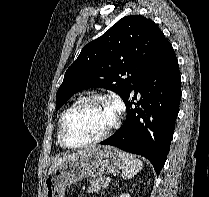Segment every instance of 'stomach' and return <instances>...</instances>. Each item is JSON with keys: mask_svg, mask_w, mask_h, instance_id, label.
I'll return each mask as SVG.
<instances>
[{"mask_svg": "<svg viewBox=\"0 0 209 197\" xmlns=\"http://www.w3.org/2000/svg\"><path fill=\"white\" fill-rule=\"evenodd\" d=\"M123 167L121 151L112 146H92L55 167L45 178L44 197H64L68 185L86 177H98Z\"/></svg>", "mask_w": 209, "mask_h": 197, "instance_id": "1", "label": "stomach"}]
</instances>
